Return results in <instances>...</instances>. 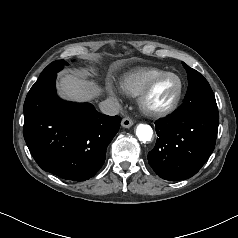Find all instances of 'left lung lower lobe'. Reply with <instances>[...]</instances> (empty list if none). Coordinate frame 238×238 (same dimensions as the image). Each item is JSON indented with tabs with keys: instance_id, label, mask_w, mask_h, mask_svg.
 I'll use <instances>...</instances> for the list:
<instances>
[{
	"instance_id": "1",
	"label": "left lung lower lobe",
	"mask_w": 238,
	"mask_h": 238,
	"mask_svg": "<svg viewBox=\"0 0 238 238\" xmlns=\"http://www.w3.org/2000/svg\"><path fill=\"white\" fill-rule=\"evenodd\" d=\"M217 106L183 115L178 112L155 123L157 142L148 162L162 179L177 181L195 175L214 150Z\"/></svg>"
}]
</instances>
